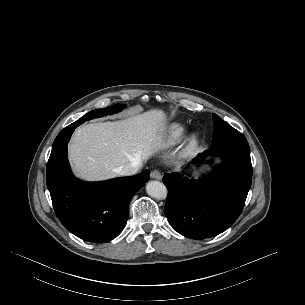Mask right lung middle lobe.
<instances>
[{"label":"right lung middle lobe","instance_id":"1","mask_svg":"<svg viewBox=\"0 0 305 305\" xmlns=\"http://www.w3.org/2000/svg\"><path fill=\"white\" fill-rule=\"evenodd\" d=\"M124 108V105L122 104H115L107 108L93 110L87 114H85L83 117H81L79 120L81 123H84L85 121H88L90 119L102 117L108 114H113L115 112H119Z\"/></svg>","mask_w":305,"mask_h":305}]
</instances>
